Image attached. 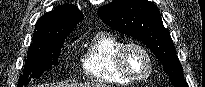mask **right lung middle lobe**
I'll return each instance as SVG.
<instances>
[{
  "label": "right lung middle lobe",
  "instance_id": "dd1d6c3e",
  "mask_svg": "<svg viewBox=\"0 0 205 87\" xmlns=\"http://www.w3.org/2000/svg\"><path fill=\"white\" fill-rule=\"evenodd\" d=\"M66 37L38 40L30 44L18 87L27 84L31 78L39 77L42 72L57 64Z\"/></svg>",
  "mask_w": 205,
  "mask_h": 87
}]
</instances>
